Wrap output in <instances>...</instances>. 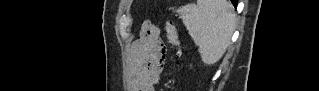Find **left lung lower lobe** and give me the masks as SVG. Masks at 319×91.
Here are the masks:
<instances>
[{
    "mask_svg": "<svg viewBox=\"0 0 319 91\" xmlns=\"http://www.w3.org/2000/svg\"><path fill=\"white\" fill-rule=\"evenodd\" d=\"M231 2L233 3L234 7L237 6V0H231Z\"/></svg>",
    "mask_w": 319,
    "mask_h": 91,
    "instance_id": "obj_1",
    "label": "left lung lower lobe"
}]
</instances>
